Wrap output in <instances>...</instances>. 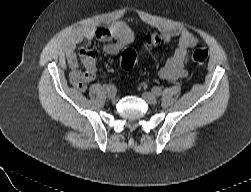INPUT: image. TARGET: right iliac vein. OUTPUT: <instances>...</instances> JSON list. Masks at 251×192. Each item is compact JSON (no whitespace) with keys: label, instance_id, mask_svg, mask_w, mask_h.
Listing matches in <instances>:
<instances>
[{"label":"right iliac vein","instance_id":"63e3f726","mask_svg":"<svg viewBox=\"0 0 251 192\" xmlns=\"http://www.w3.org/2000/svg\"><path fill=\"white\" fill-rule=\"evenodd\" d=\"M108 98H109L111 101H113V102L117 101V96H116V93H115V92H109V93H108Z\"/></svg>","mask_w":251,"mask_h":192}]
</instances>
